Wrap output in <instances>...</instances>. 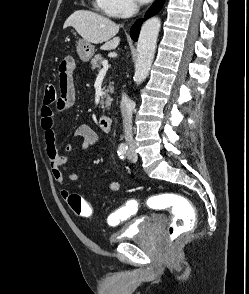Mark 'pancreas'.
Wrapping results in <instances>:
<instances>
[{
  "mask_svg": "<svg viewBox=\"0 0 249 294\" xmlns=\"http://www.w3.org/2000/svg\"><path fill=\"white\" fill-rule=\"evenodd\" d=\"M103 61H104V59L100 54L95 55V57L91 60L92 70L100 69ZM112 84L113 83H110L109 86L107 87V89L104 90V94H103V96L101 98V102H100V107L102 109L108 108L111 104L109 93L113 92ZM104 99H106V100L104 101Z\"/></svg>",
  "mask_w": 249,
  "mask_h": 294,
  "instance_id": "cf45deb5",
  "label": "pancreas"
}]
</instances>
